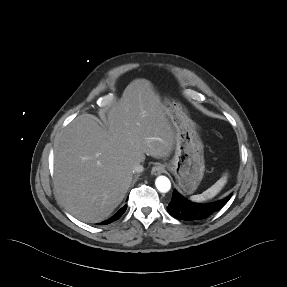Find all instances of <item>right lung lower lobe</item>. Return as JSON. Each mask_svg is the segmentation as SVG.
<instances>
[{"instance_id":"1","label":"right lung lower lobe","mask_w":287,"mask_h":287,"mask_svg":"<svg viewBox=\"0 0 287 287\" xmlns=\"http://www.w3.org/2000/svg\"><path fill=\"white\" fill-rule=\"evenodd\" d=\"M126 209H127V205H124L115 215H113L111 218L103 221L102 224L107 225L109 223H112V222L118 220L124 214Z\"/></svg>"}]
</instances>
